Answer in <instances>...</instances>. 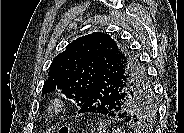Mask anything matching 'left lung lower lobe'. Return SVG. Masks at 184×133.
<instances>
[{
    "instance_id": "0a47b994",
    "label": "left lung lower lobe",
    "mask_w": 184,
    "mask_h": 133,
    "mask_svg": "<svg viewBox=\"0 0 184 133\" xmlns=\"http://www.w3.org/2000/svg\"><path fill=\"white\" fill-rule=\"evenodd\" d=\"M99 67L101 75L98 77L89 98L81 106L79 113H99L113 118L131 121L126 111L128 97L132 95L133 89L127 93L128 85L125 76L114 61L105 55L101 58ZM145 94H150V88L141 85ZM136 128H139L136 126Z\"/></svg>"
}]
</instances>
